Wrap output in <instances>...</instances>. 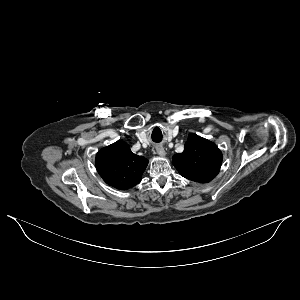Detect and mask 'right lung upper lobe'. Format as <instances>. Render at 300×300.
<instances>
[{
	"label": "right lung upper lobe",
	"instance_id": "right-lung-upper-lobe-1",
	"mask_svg": "<svg viewBox=\"0 0 300 300\" xmlns=\"http://www.w3.org/2000/svg\"><path fill=\"white\" fill-rule=\"evenodd\" d=\"M95 165L107 184L117 189H128L140 183L148 160L134 154L127 143L119 140L97 153Z\"/></svg>",
	"mask_w": 300,
	"mask_h": 300
}]
</instances>
